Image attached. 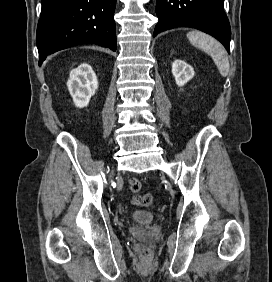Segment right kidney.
<instances>
[{
  "mask_svg": "<svg viewBox=\"0 0 272 282\" xmlns=\"http://www.w3.org/2000/svg\"><path fill=\"white\" fill-rule=\"evenodd\" d=\"M67 87L75 106L86 107L98 89V80L92 67L83 63L70 72Z\"/></svg>",
  "mask_w": 272,
  "mask_h": 282,
  "instance_id": "ca27d5eb",
  "label": "right kidney"
}]
</instances>
